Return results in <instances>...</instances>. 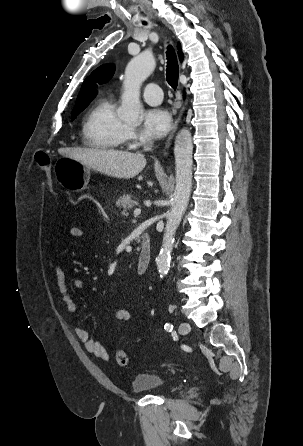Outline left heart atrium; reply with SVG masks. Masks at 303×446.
<instances>
[{
	"instance_id": "left-heart-atrium-1",
	"label": "left heart atrium",
	"mask_w": 303,
	"mask_h": 446,
	"mask_svg": "<svg viewBox=\"0 0 303 446\" xmlns=\"http://www.w3.org/2000/svg\"><path fill=\"white\" fill-rule=\"evenodd\" d=\"M171 126L169 112L162 108L147 110L143 116V131L147 136L161 138L166 135Z\"/></svg>"
}]
</instances>
